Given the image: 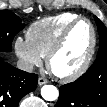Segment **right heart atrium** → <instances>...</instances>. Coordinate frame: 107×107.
<instances>
[{
  "instance_id": "1",
  "label": "right heart atrium",
  "mask_w": 107,
  "mask_h": 107,
  "mask_svg": "<svg viewBox=\"0 0 107 107\" xmlns=\"http://www.w3.org/2000/svg\"><path fill=\"white\" fill-rule=\"evenodd\" d=\"M14 50L25 68L32 69L41 65L43 57L36 51L27 38L17 37L14 41Z\"/></svg>"
}]
</instances>
